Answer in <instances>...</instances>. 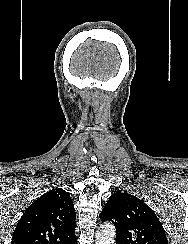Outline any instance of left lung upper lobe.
<instances>
[{
    "instance_id": "1",
    "label": "left lung upper lobe",
    "mask_w": 188,
    "mask_h": 244,
    "mask_svg": "<svg viewBox=\"0 0 188 244\" xmlns=\"http://www.w3.org/2000/svg\"><path fill=\"white\" fill-rule=\"evenodd\" d=\"M99 217L115 225L116 244H168L156 214L131 194L114 193Z\"/></svg>"
}]
</instances>
